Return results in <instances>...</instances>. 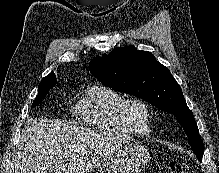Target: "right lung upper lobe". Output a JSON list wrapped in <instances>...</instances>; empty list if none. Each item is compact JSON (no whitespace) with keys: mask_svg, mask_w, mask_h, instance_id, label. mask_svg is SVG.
I'll list each match as a JSON object with an SVG mask.
<instances>
[{"mask_svg":"<svg viewBox=\"0 0 219 173\" xmlns=\"http://www.w3.org/2000/svg\"><path fill=\"white\" fill-rule=\"evenodd\" d=\"M46 77H54V78H56V76H55L54 73H50V74H49L48 76H46ZM46 77H44V78H46ZM55 82H57L56 79H55Z\"/></svg>","mask_w":219,"mask_h":173,"instance_id":"cb5924a9","label":"right lung upper lobe"}]
</instances>
